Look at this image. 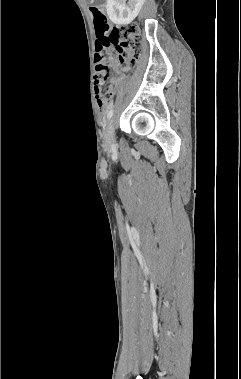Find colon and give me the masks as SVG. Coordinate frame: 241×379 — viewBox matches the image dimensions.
Wrapping results in <instances>:
<instances>
[{
  "label": "colon",
  "mask_w": 241,
  "mask_h": 379,
  "mask_svg": "<svg viewBox=\"0 0 241 379\" xmlns=\"http://www.w3.org/2000/svg\"><path fill=\"white\" fill-rule=\"evenodd\" d=\"M94 26L99 39L95 54V93L100 108L110 106L113 95L112 68L117 62H122L126 55L133 61L141 50L139 27L135 23H128L114 27L108 37L104 33L108 30L107 16L103 6L92 7Z\"/></svg>",
  "instance_id": "colon-1"
}]
</instances>
